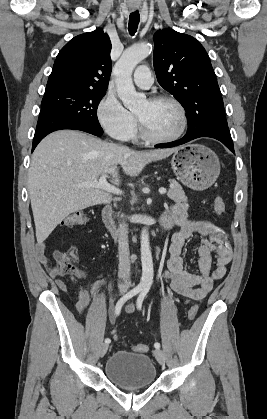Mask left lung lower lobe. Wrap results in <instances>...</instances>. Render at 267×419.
<instances>
[{"label": "left lung lower lobe", "mask_w": 267, "mask_h": 419, "mask_svg": "<svg viewBox=\"0 0 267 419\" xmlns=\"http://www.w3.org/2000/svg\"><path fill=\"white\" fill-rule=\"evenodd\" d=\"M217 120V116L205 114L203 117L196 119L188 126L187 133L183 138L156 147L170 148L182 145L199 137H211L221 141L231 152L235 153L228 125L213 129V125Z\"/></svg>", "instance_id": "0a47b994"}]
</instances>
